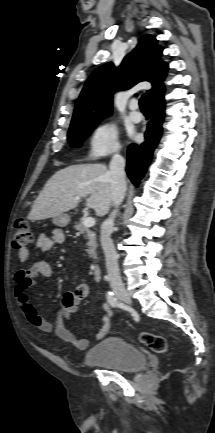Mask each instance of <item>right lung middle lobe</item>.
Wrapping results in <instances>:
<instances>
[{"label": "right lung middle lobe", "instance_id": "obj_1", "mask_svg": "<svg viewBox=\"0 0 215 433\" xmlns=\"http://www.w3.org/2000/svg\"><path fill=\"white\" fill-rule=\"evenodd\" d=\"M102 119L71 124L68 132V141L71 146H80L82 141L92 132Z\"/></svg>", "mask_w": 215, "mask_h": 433}]
</instances>
